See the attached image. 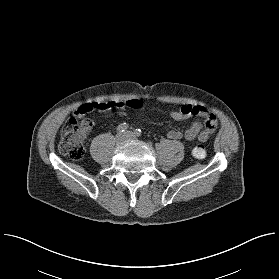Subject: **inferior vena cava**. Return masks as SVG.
Wrapping results in <instances>:
<instances>
[{"instance_id": "obj_1", "label": "inferior vena cava", "mask_w": 279, "mask_h": 279, "mask_svg": "<svg viewBox=\"0 0 279 279\" xmlns=\"http://www.w3.org/2000/svg\"><path fill=\"white\" fill-rule=\"evenodd\" d=\"M125 138H127V139H131V138H132L131 133L126 134V135H125Z\"/></svg>"}]
</instances>
